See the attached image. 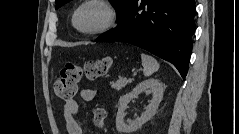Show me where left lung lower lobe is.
<instances>
[{
  "instance_id": "0a47b994",
  "label": "left lung lower lobe",
  "mask_w": 239,
  "mask_h": 134,
  "mask_svg": "<svg viewBox=\"0 0 239 134\" xmlns=\"http://www.w3.org/2000/svg\"><path fill=\"white\" fill-rule=\"evenodd\" d=\"M194 0H134L113 30L95 41H119L169 61L185 78L195 31Z\"/></svg>"
}]
</instances>
